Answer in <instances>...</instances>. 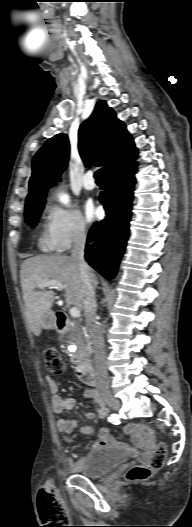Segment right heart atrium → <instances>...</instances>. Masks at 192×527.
<instances>
[{"label":"right heart atrium","mask_w":192,"mask_h":527,"mask_svg":"<svg viewBox=\"0 0 192 527\" xmlns=\"http://www.w3.org/2000/svg\"><path fill=\"white\" fill-rule=\"evenodd\" d=\"M47 233L53 250L64 251L86 234V226L75 210L52 203L45 210Z\"/></svg>","instance_id":"d8ad5b80"}]
</instances>
